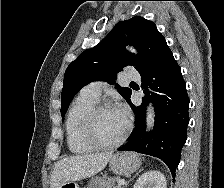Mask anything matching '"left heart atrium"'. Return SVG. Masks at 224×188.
<instances>
[{"label":"left heart atrium","mask_w":224,"mask_h":188,"mask_svg":"<svg viewBox=\"0 0 224 188\" xmlns=\"http://www.w3.org/2000/svg\"><path fill=\"white\" fill-rule=\"evenodd\" d=\"M114 110L120 116V118L127 124L130 116L128 107L124 104H120Z\"/></svg>","instance_id":"39dd6f15"}]
</instances>
